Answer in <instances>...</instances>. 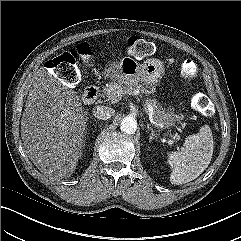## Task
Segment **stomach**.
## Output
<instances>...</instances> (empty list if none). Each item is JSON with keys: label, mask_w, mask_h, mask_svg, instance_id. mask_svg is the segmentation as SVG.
Listing matches in <instances>:
<instances>
[{"label": "stomach", "mask_w": 241, "mask_h": 241, "mask_svg": "<svg viewBox=\"0 0 241 241\" xmlns=\"http://www.w3.org/2000/svg\"><path fill=\"white\" fill-rule=\"evenodd\" d=\"M129 61L121 62L118 70V80L124 86H137L142 83L147 87H154L164 74V66L157 59H148L143 64L135 61L131 66Z\"/></svg>", "instance_id": "1"}]
</instances>
